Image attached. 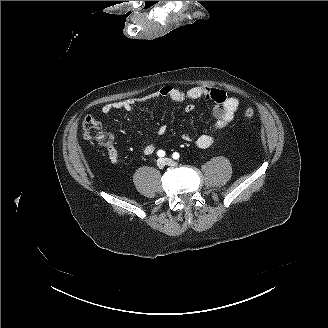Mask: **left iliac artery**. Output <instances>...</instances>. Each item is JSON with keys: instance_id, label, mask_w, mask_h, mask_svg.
<instances>
[{"instance_id": "44dca946", "label": "left iliac artery", "mask_w": 328, "mask_h": 328, "mask_svg": "<svg viewBox=\"0 0 328 328\" xmlns=\"http://www.w3.org/2000/svg\"><path fill=\"white\" fill-rule=\"evenodd\" d=\"M172 156L174 159H179V157H180L179 153H177V152H174Z\"/></svg>"}]
</instances>
